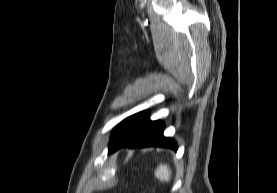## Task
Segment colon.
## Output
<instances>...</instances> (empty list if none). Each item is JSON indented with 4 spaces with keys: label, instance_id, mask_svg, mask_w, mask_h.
Masks as SVG:
<instances>
[{
    "label": "colon",
    "instance_id": "obj_1",
    "mask_svg": "<svg viewBox=\"0 0 277 193\" xmlns=\"http://www.w3.org/2000/svg\"><path fill=\"white\" fill-rule=\"evenodd\" d=\"M141 193H147V191L146 190H142V192Z\"/></svg>",
    "mask_w": 277,
    "mask_h": 193
}]
</instances>
